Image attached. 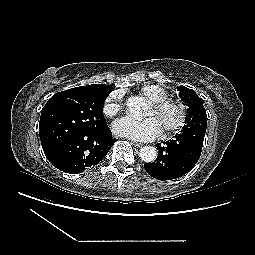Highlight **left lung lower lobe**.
<instances>
[{"instance_id":"0a47b994","label":"left lung lower lobe","mask_w":255,"mask_h":255,"mask_svg":"<svg viewBox=\"0 0 255 255\" xmlns=\"http://www.w3.org/2000/svg\"><path fill=\"white\" fill-rule=\"evenodd\" d=\"M206 127L191 128L185 135L157 144L156 161L144 164L146 172L158 180H171L188 173L200 158Z\"/></svg>"}]
</instances>
